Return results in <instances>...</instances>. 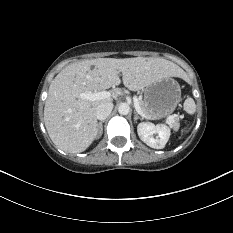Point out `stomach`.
Wrapping results in <instances>:
<instances>
[{"instance_id": "1", "label": "stomach", "mask_w": 233, "mask_h": 233, "mask_svg": "<svg viewBox=\"0 0 233 233\" xmlns=\"http://www.w3.org/2000/svg\"><path fill=\"white\" fill-rule=\"evenodd\" d=\"M143 92L147 109L156 117L171 114L181 99L180 86L171 77L152 83L144 88Z\"/></svg>"}]
</instances>
